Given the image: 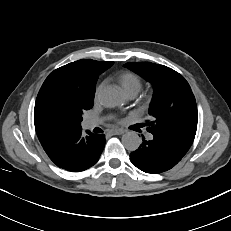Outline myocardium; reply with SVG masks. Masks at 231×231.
<instances>
[{"label": "myocardium", "mask_w": 231, "mask_h": 231, "mask_svg": "<svg viewBox=\"0 0 231 231\" xmlns=\"http://www.w3.org/2000/svg\"><path fill=\"white\" fill-rule=\"evenodd\" d=\"M154 96H155L154 91H148V92H145L142 94L140 100H141L142 104L149 105L153 101Z\"/></svg>", "instance_id": "f54148a6"}]
</instances>
